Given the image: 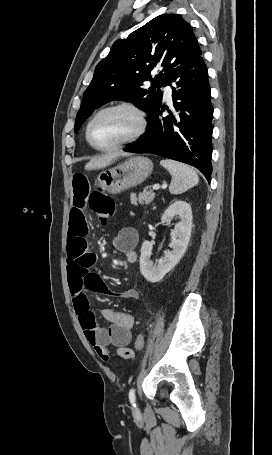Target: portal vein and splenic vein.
I'll list each match as a JSON object with an SVG mask.
<instances>
[{
	"label": "portal vein and splenic vein",
	"mask_w": 272,
	"mask_h": 455,
	"mask_svg": "<svg viewBox=\"0 0 272 455\" xmlns=\"http://www.w3.org/2000/svg\"><path fill=\"white\" fill-rule=\"evenodd\" d=\"M159 188H160V185H159V184L153 185V189H154V190H158Z\"/></svg>",
	"instance_id": "1"
}]
</instances>
